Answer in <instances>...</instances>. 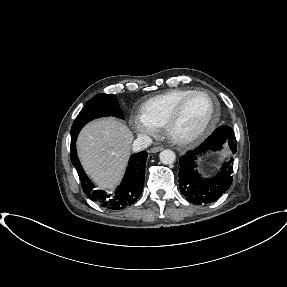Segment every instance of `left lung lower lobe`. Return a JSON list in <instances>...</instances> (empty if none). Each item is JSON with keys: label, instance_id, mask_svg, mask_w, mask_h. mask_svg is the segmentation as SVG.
I'll use <instances>...</instances> for the list:
<instances>
[{"label": "left lung lower lobe", "instance_id": "obj_1", "mask_svg": "<svg viewBox=\"0 0 287 287\" xmlns=\"http://www.w3.org/2000/svg\"><path fill=\"white\" fill-rule=\"evenodd\" d=\"M228 143L231 151L236 152V138L229 126H220L197 148L180 157L179 186L185 197L194 204H207L219 199L232 183L233 158L226 161L214 177L201 175L197 160L211 151L220 150Z\"/></svg>", "mask_w": 287, "mask_h": 287}]
</instances>
